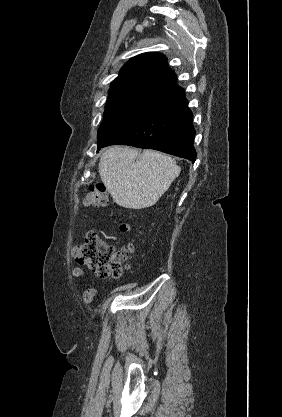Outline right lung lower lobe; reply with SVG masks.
I'll return each instance as SVG.
<instances>
[{"instance_id":"right-lung-lower-lobe-1","label":"right lung lower lobe","mask_w":282,"mask_h":417,"mask_svg":"<svg viewBox=\"0 0 282 417\" xmlns=\"http://www.w3.org/2000/svg\"><path fill=\"white\" fill-rule=\"evenodd\" d=\"M195 129L184 90L174 85L147 106L124 127L110 135L99 147L126 144L159 150L196 160L193 147Z\"/></svg>"}]
</instances>
